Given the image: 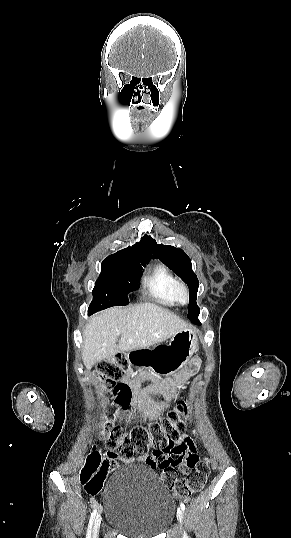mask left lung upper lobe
<instances>
[{"label":"left lung upper lobe","mask_w":291,"mask_h":538,"mask_svg":"<svg viewBox=\"0 0 291 538\" xmlns=\"http://www.w3.org/2000/svg\"><path fill=\"white\" fill-rule=\"evenodd\" d=\"M153 241V253L156 258H159L166 266L173 270L189 288V309L188 318L193 321V318L200 312L196 304V294L199 287V281L196 274L192 270L190 258L182 250L173 246L157 244Z\"/></svg>","instance_id":"obj_1"}]
</instances>
